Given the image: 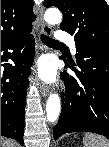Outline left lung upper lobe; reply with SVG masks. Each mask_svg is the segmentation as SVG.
<instances>
[{"instance_id": "obj_1", "label": "left lung upper lobe", "mask_w": 109, "mask_h": 147, "mask_svg": "<svg viewBox=\"0 0 109 147\" xmlns=\"http://www.w3.org/2000/svg\"><path fill=\"white\" fill-rule=\"evenodd\" d=\"M63 13L62 30L74 35L75 43L109 51V7L105 0H45Z\"/></svg>"}]
</instances>
